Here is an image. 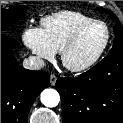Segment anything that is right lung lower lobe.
I'll use <instances>...</instances> for the list:
<instances>
[{"instance_id":"98d812e1","label":"right lung lower lobe","mask_w":123,"mask_h":123,"mask_svg":"<svg viewBox=\"0 0 123 123\" xmlns=\"http://www.w3.org/2000/svg\"><path fill=\"white\" fill-rule=\"evenodd\" d=\"M17 46L1 35V123H27L36 97L50 85L48 72L20 68L12 53Z\"/></svg>"}]
</instances>
